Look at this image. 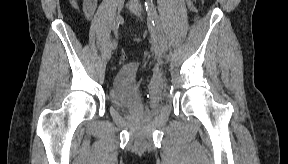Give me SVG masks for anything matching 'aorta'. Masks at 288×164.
<instances>
[{"instance_id":"762f6f07","label":"aorta","mask_w":288,"mask_h":164,"mask_svg":"<svg viewBox=\"0 0 288 164\" xmlns=\"http://www.w3.org/2000/svg\"><path fill=\"white\" fill-rule=\"evenodd\" d=\"M146 6H148V8H152L153 4H151V2H149V0H147Z\"/></svg>"}]
</instances>
